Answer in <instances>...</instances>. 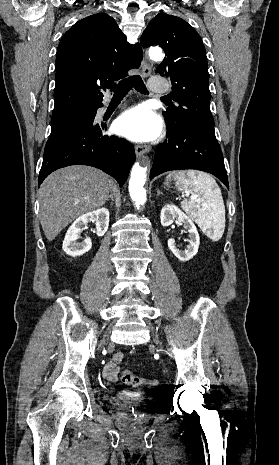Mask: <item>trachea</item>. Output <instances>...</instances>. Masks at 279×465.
I'll return each instance as SVG.
<instances>
[{"label":"trachea","mask_w":279,"mask_h":465,"mask_svg":"<svg viewBox=\"0 0 279 465\" xmlns=\"http://www.w3.org/2000/svg\"><path fill=\"white\" fill-rule=\"evenodd\" d=\"M132 87L142 94L148 93L142 78L139 75H133L122 80L118 84V86L114 89V96H125ZM162 99H167V97L165 96Z\"/></svg>","instance_id":"1"}]
</instances>
